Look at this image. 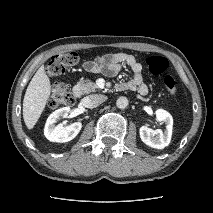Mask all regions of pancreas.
Segmentation results:
<instances>
[{
  "label": "pancreas",
  "mask_w": 213,
  "mask_h": 213,
  "mask_svg": "<svg viewBox=\"0 0 213 213\" xmlns=\"http://www.w3.org/2000/svg\"><path fill=\"white\" fill-rule=\"evenodd\" d=\"M77 86L81 88L83 94H89L91 92H95L97 89V85L90 80L81 79Z\"/></svg>",
  "instance_id": "1"
}]
</instances>
